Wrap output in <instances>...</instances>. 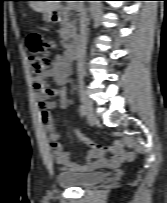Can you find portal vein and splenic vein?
<instances>
[{"label": "portal vein and splenic vein", "mask_w": 167, "mask_h": 203, "mask_svg": "<svg viewBox=\"0 0 167 203\" xmlns=\"http://www.w3.org/2000/svg\"><path fill=\"white\" fill-rule=\"evenodd\" d=\"M68 8L71 10L73 9V5L72 4H68Z\"/></svg>", "instance_id": "portal-vein-and-splenic-vein-1"}]
</instances>
